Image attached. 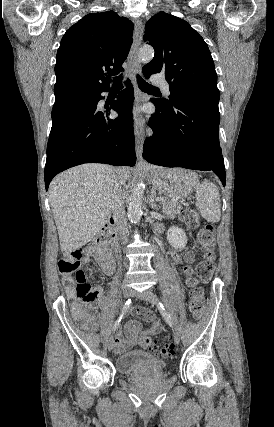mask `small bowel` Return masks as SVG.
<instances>
[{"instance_id": "obj_1", "label": "small bowel", "mask_w": 274, "mask_h": 427, "mask_svg": "<svg viewBox=\"0 0 274 427\" xmlns=\"http://www.w3.org/2000/svg\"><path fill=\"white\" fill-rule=\"evenodd\" d=\"M157 230H161L160 227H157ZM195 250H198V247H195ZM209 255L215 257L218 255L217 251H198V254L202 256ZM94 259L99 265L100 270L105 275H111L115 269V261L108 250V247L105 242H97L87 246L84 249V255L82 258V263L84 265L90 264L91 260ZM171 259L174 263L178 264L181 262L182 258L177 253H171ZM184 261L192 263L194 261V255L192 252H187L184 255ZM212 263L210 261H199L197 263L198 270L196 271V276L198 278H203L204 282L208 281V278L213 276ZM90 274H93V271L90 270ZM180 282L184 281L183 277L179 278ZM100 295V293H99ZM99 297V296H98ZM103 300L100 299L97 302V306H101ZM72 315L74 319L81 324L85 329L91 330L95 329L98 326H102L103 322L99 314L95 311L94 307L81 302H74L72 305ZM150 314V313H149ZM141 318V317H140ZM144 321L150 322L152 325L146 330H141V322L138 319L129 320L125 325L124 333L117 332L113 339L114 351L117 354H123L138 344L140 337H153L160 334L162 331L163 325L160 319L156 316L150 314L147 318H142Z\"/></svg>"}]
</instances>
